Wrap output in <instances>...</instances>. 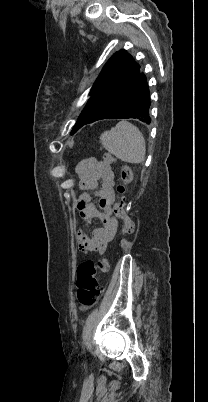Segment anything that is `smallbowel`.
<instances>
[{
	"label": "small bowel",
	"instance_id": "small-bowel-1",
	"mask_svg": "<svg viewBox=\"0 0 208 402\" xmlns=\"http://www.w3.org/2000/svg\"><path fill=\"white\" fill-rule=\"evenodd\" d=\"M76 173L80 179V188L85 191L77 201V208L86 222V229L77 230L78 244L83 251L104 250L118 229V221L112 208L115 198L112 166L102 159L90 157L78 163ZM93 195L99 198L100 209L93 202ZM94 219H99L102 226L88 232Z\"/></svg>",
	"mask_w": 208,
	"mask_h": 402
}]
</instances>
